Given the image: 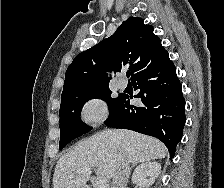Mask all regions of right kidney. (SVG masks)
Masks as SVG:
<instances>
[{
	"instance_id": "ca27d5eb",
	"label": "right kidney",
	"mask_w": 224,
	"mask_h": 188,
	"mask_svg": "<svg viewBox=\"0 0 224 188\" xmlns=\"http://www.w3.org/2000/svg\"><path fill=\"white\" fill-rule=\"evenodd\" d=\"M161 172V165L158 162H146L139 165L132 176L133 184L136 188H148Z\"/></svg>"
}]
</instances>
